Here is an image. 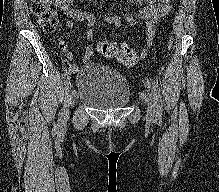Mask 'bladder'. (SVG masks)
<instances>
[{"label": "bladder", "instance_id": "bladder-1", "mask_svg": "<svg viewBox=\"0 0 219 192\" xmlns=\"http://www.w3.org/2000/svg\"><path fill=\"white\" fill-rule=\"evenodd\" d=\"M77 99L97 110L124 108L131 100L126 78L116 70L96 62L87 63L76 74Z\"/></svg>", "mask_w": 219, "mask_h": 192}]
</instances>
